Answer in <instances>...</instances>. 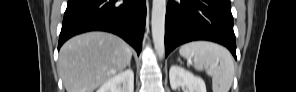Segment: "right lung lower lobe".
<instances>
[{
	"label": "right lung lower lobe",
	"mask_w": 296,
	"mask_h": 92,
	"mask_svg": "<svg viewBox=\"0 0 296 92\" xmlns=\"http://www.w3.org/2000/svg\"><path fill=\"white\" fill-rule=\"evenodd\" d=\"M145 17V0H68L58 49L74 35L100 30L122 37L139 55Z\"/></svg>",
	"instance_id": "98d812e1"
}]
</instances>
